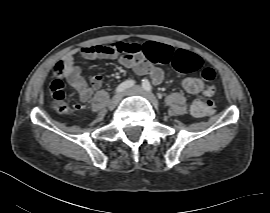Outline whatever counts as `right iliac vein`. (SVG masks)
<instances>
[{
  "instance_id": "obj_1",
  "label": "right iliac vein",
  "mask_w": 270,
  "mask_h": 213,
  "mask_svg": "<svg viewBox=\"0 0 270 213\" xmlns=\"http://www.w3.org/2000/svg\"><path fill=\"white\" fill-rule=\"evenodd\" d=\"M121 99H122V94H120V93L116 94L109 103V109L112 110V109L116 108V106L119 104Z\"/></svg>"
}]
</instances>
